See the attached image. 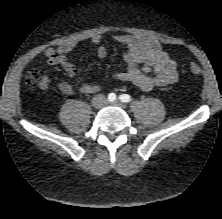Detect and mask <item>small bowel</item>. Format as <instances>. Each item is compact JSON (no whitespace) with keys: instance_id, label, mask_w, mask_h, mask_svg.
<instances>
[{"instance_id":"1","label":"small bowel","mask_w":222,"mask_h":219,"mask_svg":"<svg viewBox=\"0 0 222 219\" xmlns=\"http://www.w3.org/2000/svg\"><path fill=\"white\" fill-rule=\"evenodd\" d=\"M112 38L127 49L124 56L126 69L114 73L113 77L116 80L130 82L142 91L168 86L177 81V61L163 50L156 39L130 34L113 35ZM92 43L95 46L96 55L100 58L105 57L107 51L102 44L101 36H93ZM74 48L75 43L67 42L43 53V59L48 64L60 66L68 75L78 80L77 87L63 81L58 83L57 89L63 94L96 93L100 89L99 85L85 82L79 76L77 66L68 59V54ZM38 86L43 91L49 90L51 87L50 77L43 74L39 79Z\"/></svg>"}]
</instances>
